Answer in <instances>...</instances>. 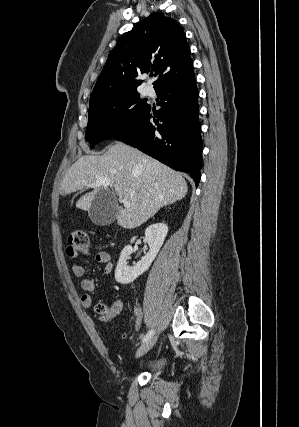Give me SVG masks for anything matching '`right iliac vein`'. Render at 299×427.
Returning a JSON list of instances; mask_svg holds the SVG:
<instances>
[{
	"label": "right iliac vein",
	"instance_id": "obj_1",
	"mask_svg": "<svg viewBox=\"0 0 299 427\" xmlns=\"http://www.w3.org/2000/svg\"><path fill=\"white\" fill-rule=\"evenodd\" d=\"M157 337H152L149 340H147L146 342H144L138 349L136 352V357L139 358L141 356H143L144 354H146L156 343Z\"/></svg>",
	"mask_w": 299,
	"mask_h": 427
}]
</instances>
